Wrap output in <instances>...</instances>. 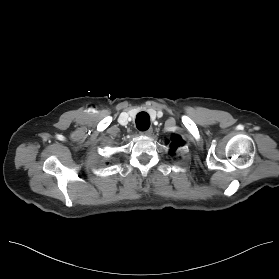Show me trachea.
<instances>
[{
	"instance_id": "1",
	"label": "trachea",
	"mask_w": 279,
	"mask_h": 279,
	"mask_svg": "<svg viewBox=\"0 0 279 279\" xmlns=\"http://www.w3.org/2000/svg\"><path fill=\"white\" fill-rule=\"evenodd\" d=\"M136 127L140 131H145L150 127V117L146 112H140L136 116Z\"/></svg>"
}]
</instances>
